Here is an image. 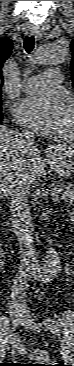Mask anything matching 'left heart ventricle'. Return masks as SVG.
<instances>
[{
	"label": "left heart ventricle",
	"instance_id": "obj_1",
	"mask_svg": "<svg viewBox=\"0 0 74 366\" xmlns=\"http://www.w3.org/2000/svg\"><path fill=\"white\" fill-rule=\"evenodd\" d=\"M71 110L69 108V104L67 103V109L66 114L63 117L62 123H61V129L64 133L67 134V130L71 127Z\"/></svg>",
	"mask_w": 74,
	"mask_h": 366
}]
</instances>
